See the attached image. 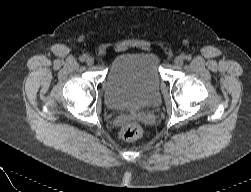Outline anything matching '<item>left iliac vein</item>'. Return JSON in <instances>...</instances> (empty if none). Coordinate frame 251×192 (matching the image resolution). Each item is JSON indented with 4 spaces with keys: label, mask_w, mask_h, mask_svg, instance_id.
I'll use <instances>...</instances> for the list:
<instances>
[{
    "label": "left iliac vein",
    "mask_w": 251,
    "mask_h": 192,
    "mask_svg": "<svg viewBox=\"0 0 251 192\" xmlns=\"http://www.w3.org/2000/svg\"><path fill=\"white\" fill-rule=\"evenodd\" d=\"M183 63H184V58H183L182 56H178V57H176L175 60H174L175 66H178V67H179V66H182Z\"/></svg>",
    "instance_id": "4c4485c4"
}]
</instances>
